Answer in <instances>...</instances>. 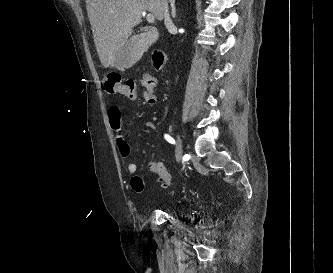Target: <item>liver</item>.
Returning <instances> with one entry per match:
<instances>
[{
	"instance_id": "obj_1",
	"label": "liver",
	"mask_w": 333,
	"mask_h": 273,
	"mask_svg": "<svg viewBox=\"0 0 333 273\" xmlns=\"http://www.w3.org/2000/svg\"><path fill=\"white\" fill-rule=\"evenodd\" d=\"M94 43L102 65L114 64L144 11L163 20L161 0H86Z\"/></svg>"
}]
</instances>
